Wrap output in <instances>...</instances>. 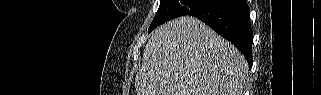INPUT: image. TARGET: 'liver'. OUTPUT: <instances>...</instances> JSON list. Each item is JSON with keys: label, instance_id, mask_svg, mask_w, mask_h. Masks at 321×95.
I'll list each match as a JSON object with an SVG mask.
<instances>
[{"label": "liver", "instance_id": "6515ba94", "mask_svg": "<svg viewBox=\"0 0 321 95\" xmlns=\"http://www.w3.org/2000/svg\"><path fill=\"white\" fill-rule=\"evenodd\" d=\"M244 56L191 16L167 22L148 40L135 77L137 95H242Z\"/></svg>", "mask_w": 321, "mask_h": 95}]
</instances>
